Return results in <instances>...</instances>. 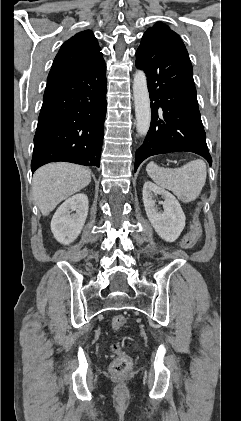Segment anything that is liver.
Returning a JSON list of instances; mask_svg holds the SVG:
<instances>
[{
  "mask_svg": "<svg viewBox=\"0 0 241 421\" xmlns=\"http://www.w3.org/2000/svg\"><path fill=\"white\" fill-rule=\"evenodd\" d=\"M91 182L88 168L65 162L50 163L33 175V198L43 216Z\"/></svg>",
  "mask_w": 241,
  "mask_h": 421,
  "instance_id": "liver-1",
  "label": "liver"
}]
</instances>
